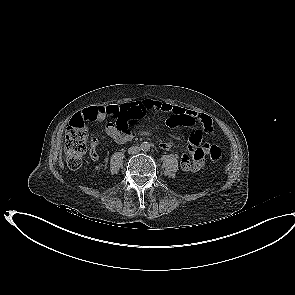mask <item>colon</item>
<instances>
[{"label":"colon","mask_w":295,"mask_h":295,"mask_svg":"<svg viewBox=\"0 0 295 295\" xmlns=\"http://www.w3.org/2000/svg\"><path fill=\"white\" fill-rule=\"evenodd\" d=\"M108 118L114 120L119 129H125L129 126L132 116L130 111L124 107L109 106L106 110ZM85 120L75 117L70 122L65 135V161L70 169H78L82 165L83 156L86 152L88 139V128ZM209 157L213 162H219L222 159V150L213 145L209 149Z\"/></svg>","instance_id":"obj_1"}]
</instances>
